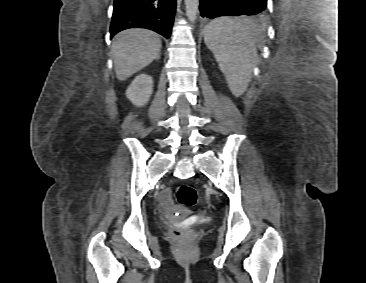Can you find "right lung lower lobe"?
Listing matches in <instances>:
<instances>
[{"mask_svg": "<svg viewBox=\"0 0 366 283\" xmlns=\"http://www.w3.org/2000/svg\"><path fill=\"white\" fill-rule=\"evenodd\" d=\"M176 0H115L110 26L111 38L129 28H147L170 37Z\"/></svg>", "mask_w": 366, "mask_h": 283, "instance_id": "right-lung-lower-lobe-1", "label": "right lung lower lobe"}]
</instances>
